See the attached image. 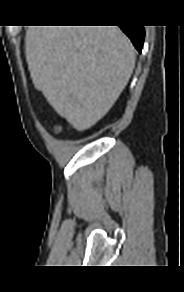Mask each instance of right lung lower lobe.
<instances>
[{
	"label": "right lung lower lobe",
	"mask_w": 184,
	"mask_h": 292,
	"mask_svg": "<svg viewBox=\"0 0 184 292\" xmlns=\"http://www.w3.org/2000/svg\"><path fill=\"white\" fill-rule=\"evenodd\" d=\"M123 32L131 39L135 48L141 52L144 42V28L143 26H120Z\"/></svg>",
	"instance_id": "right-lung-lower-lobe-1"
}]
</instances>
